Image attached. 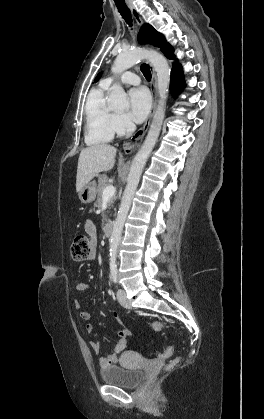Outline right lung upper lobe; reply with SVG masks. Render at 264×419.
<instances>
[{"instance_id":"right-lung-upper-lobe-1","label":"right lung upper lobe","mask_w":264,"mask_h":419,"mask_svg":"<svg viewBox=\"0 0 264 419\" xmlns=\"http://www.w3.org/2000/svg\"><path fill=\"white\" fill-rule=\"evenodd\" d=\"M101 74H102V72L98 74L95 81H97L101 77Z\"/></svg>"}]
</instances>
